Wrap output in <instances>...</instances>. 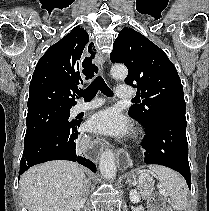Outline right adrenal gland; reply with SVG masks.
I'll list each match as a JSON object with an SVG mask.
<instances>
[{
	"instance_id": "2a0ac1e0",
	"label": "right adrenal gland",
	"mask_w": 209,
	"mask_h": 211,
	"mask_svg": "<svg viewBox=\"0 0 209 211\" xmlns=\"http://www.w3.org/2000/svg\"><path fill=\"white\" fill-rule=\"evenodd\" d=\"M90 186H91V182H90V179H87V193L90 189Z\"/></svg>"
}]
</instances>
